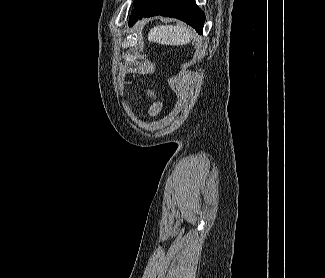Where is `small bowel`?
<instances>
[{"mask_svg":"<svg viewBox=\"0 0 325 278\" xmlns=\"http://www.w3.org/2000/svg\"><path fill=\"white\" fill-rule=\"evenodd\" d=\"M158 111H159V108H158L157 106H153V107L150 109L149 113H150L151 115H155V114L158 113Z\"/></svg>","mask_w":325,"mask_h":278,"instance_id":"1","label":"small bowel"}]
</instances>
